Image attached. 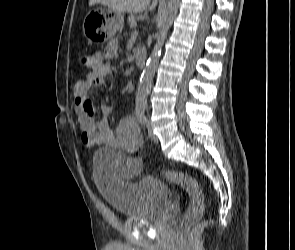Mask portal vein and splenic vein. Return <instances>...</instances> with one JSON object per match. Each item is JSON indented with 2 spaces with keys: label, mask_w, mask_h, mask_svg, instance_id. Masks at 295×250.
Masks as SVG:
<instances>
[{
  "label": "portal vein and splenic vein",
  "mask_w": 295,
  "mask_h": 250,
  "mask_svg": "<svg viewBox=\"0 0 295 250\" xmlns=\"http://www.w3.org/2000/svg\"><path fill=\"white\" fill-rule=\"evenodd\" d=\"M133 26L136 27L137 26V23H134Z\"/></svg>",
  "instance_id": "18ae733b"
}]
</instances>
